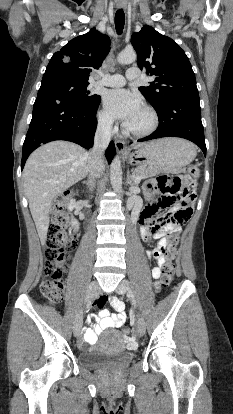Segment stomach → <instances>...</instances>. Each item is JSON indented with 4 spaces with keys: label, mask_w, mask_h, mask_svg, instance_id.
<instances>
[{
    "label": "stomach",
    "mask_w": 233,
    "mask_h": 414,
    "mask_svg": "<svg viewBox=\"0 0 233 414\" xmlns=\"http://www.w3.org/2000/svg\"><path fill=\"white\" fill-rule=\"evenodd\" d=\"M196 156L194 145L178 138H165L143 144L126 156L132 165L148 167L158 172H177Z\"/></svg>",
    "instance_id": "stomach-1"
}]
</instances>
